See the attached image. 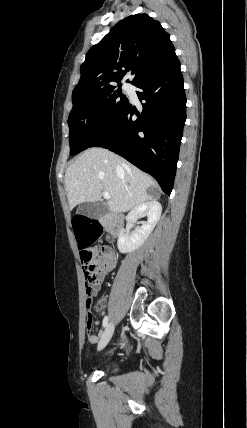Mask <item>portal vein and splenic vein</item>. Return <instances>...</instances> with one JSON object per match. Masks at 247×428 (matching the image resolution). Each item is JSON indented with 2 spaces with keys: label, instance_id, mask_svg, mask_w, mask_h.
I'll return each instance as SVG.
<instances>
[{
  "label": "portal vein and splenic vein",
  "instance_id": "18ae733b",
  "mask_svg": "<svg viewBox=\"0 0 247 428\" xmlns=\"http://www.w3.org/2000/svg\"><path fill=\"white\" fill-rule=\"evenodd\" d=\"M103 197L107 200H109L111 198L110 193H108V192H103Z\"/></svg>",
  "mask_w": 247,
  "mask_h": 428
}]
</instances>
